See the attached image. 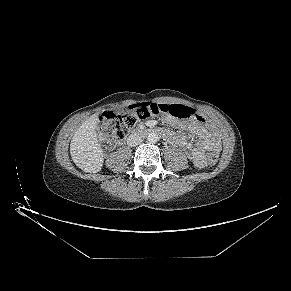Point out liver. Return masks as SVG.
I'll use <instances>...</instances> for the list:
<instances>
[{
	"label": "liver",
	"mask_w": 291,
	"mask_h": 291,
	"mask_svg": "<svg viewBox=\"0 0 291 291\" xmlns=\"http://www.w3.org/2000/svg\"><path fill=\"white\" fill-rule=\"evenodd\" d=\"M98 114L91 115L76 130L70 144L73 162L85 172L97 173L103 166V150L96 133Z\"/></svg>",
	"instance_id": "6515ba94"
}]
</instances>
